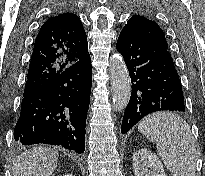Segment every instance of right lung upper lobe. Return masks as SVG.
<instances>
[{"label":"right lung upper lobe","mask_w":205,"mask_h":176,"mask_svg":"<svg viewBox=\"0 0 205 176\" xmlns=\"http://www.w3.org/2000/svg\"><path fill=\"white\" fill-rule=\"evenodd\" d=\"M88 54L87 36L78 16L63 13L49 18L35 40L23 95Z\"/></svg>","instance_id":"cb5924a9"}]
</instances>
